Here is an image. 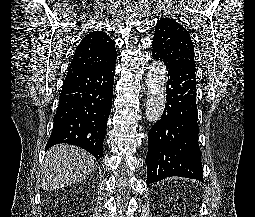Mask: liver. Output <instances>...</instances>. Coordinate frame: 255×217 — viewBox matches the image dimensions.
I'll list each match as a JSON object with an SVG mask.
<instances>
[{
	"instance_id": "1",
	"label": "liver",
	"mask_w": 255,
	"mask_h": 217,
	"mask_svg": "<svg viewBox=\"0 0 255 217\" xmlns=\"http://www.w3.org/2000/svg\"><path fill=\"white\" fill-rule=\"evenodd\" d=\"M94 169V160L84 150L67 144L50 148L45 156L41 186L51 191L82 181Z\"/></svg>"
}]
</instances>
